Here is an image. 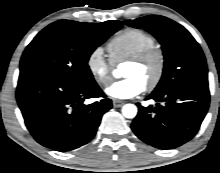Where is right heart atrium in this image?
I'll return each mask as SVG.
<instances>
[{
  "label": "right heart atrium",
  "instance_id": "obj_1",
  "mask_svg": "<svg viewBox=\"0 0 220 173\" xmlns=\"http://www.w3.org/2000/svg\"><path fill=\"white\" fill-rule=\"evenodd\" d=\"M86 66L98 85L105 87L111 82L113 63L106 58L101 47H96L89 53Z\"/></svg>",
  "mask_w": 220,
  "mask_h": 173
}]
</instances>
